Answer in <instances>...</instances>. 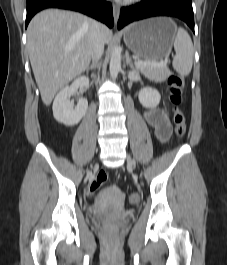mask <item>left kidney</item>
<instances>
[{
    "instance_id": "left-kidney-1",
    "label": "left kidney",
    "mask_w": 227,
    "mask_h": 265,
    "mask_svg": "<svg viewBox=\"0 0 227 265\" xmlns=\"http://www.w3.org/2000/svg\"><path fill=\"white\" fill-rule=\"evenodd\" d=\"M138 98L140 103L146 108H155L160 103V93L151 87H145L139 91Z\"/></svg>"
}]
</instances>
